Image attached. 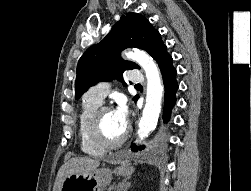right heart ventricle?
Instances as JSON below:
<instances>
[{
	"instance_id": "1",
	"label": "right heart ventricle",
	"mask_w": 251,
	"mask_h": 191,
	"mask_svg": "<svg viewBox=\"0 0 251 191\" xmlns=\"http://www.w3.org/2000/svg\"><path fill=\"white\" fill-rule=\"evenodd\" d=\"M100 104L101 101L97 99L84 97L76 119V140L78 149L81 154L91 158H100L106 152L105 149L94 144L89 136V122L91 116Z\"/></svg>"
}]
</instances>
